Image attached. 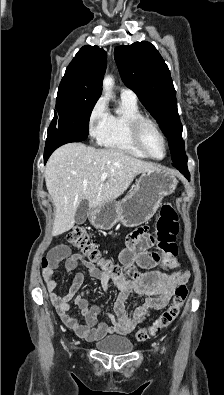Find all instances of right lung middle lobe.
I'll return each instance as SVG.
<instances>
[{"mask_svg":"<svg viewBox=\"0 0 224 395\" xmlns=\"http://www.w3.org/2000/svg\"><path fill=\"white\" fill-rule=\"evenodd\" d=\"M100 95L59 86L54 118L48 133L85 140L89 132V118Z\"/></svg>","mask_w":224,"mask_h":395,"instance_id":"right-lung-middle-lobe-1","label":"right lung middle lobe"}]
</instances>
